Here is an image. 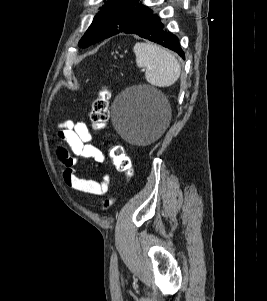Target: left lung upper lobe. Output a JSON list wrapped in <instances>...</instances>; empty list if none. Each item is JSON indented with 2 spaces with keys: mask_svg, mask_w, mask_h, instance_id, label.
Returning a JSON list of instances; mask_svg holds the SVG:
<instances>
[{
  "mask_svg": "<svg viewBox=\"0 0 267 301\" xmlns=\"http://www.w3.org/2000/svg\"><path fill=\"white\" fill-rule=\"evenodd\" d=\"M94 17L92 24L79 41L86 48L105 38L123 32L152 14V10L138 3L139 0H108Z\"/></svg>",
  "mask_w": 267,
  "mask_h": 301,
  "instance_id": "5c2ea615",
  "label": "left lung upper lobe"
}]
</instances>
